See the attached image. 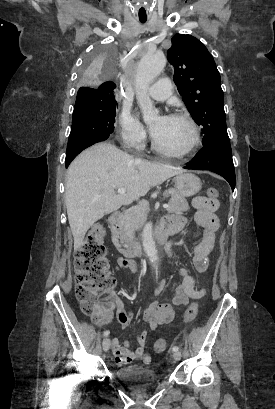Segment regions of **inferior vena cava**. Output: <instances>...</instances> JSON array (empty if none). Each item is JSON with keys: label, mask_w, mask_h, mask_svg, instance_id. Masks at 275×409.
Segmentation results:
<instances>
[{"label": "inferior vena cava", "mask_w": 275, "mask_h": 409, "mask_svg": "<svg viewBox=\"0 0 275 409\" xmlns=\"http://www.w3.org/2000/svg\"><path fill=\"white\" fill-rule=\"evenodd\" d=\"M124 138H129V136H127V134H126V136H124Z\"/></svg>", "instance_id": "obj_1"}]
</instances>
